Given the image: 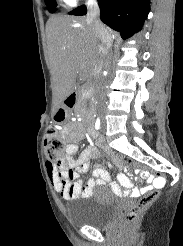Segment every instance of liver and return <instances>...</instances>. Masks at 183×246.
<instances>
[{"mask_svg":"<svg viewBox=\"0 0 183 246\" xmlns=\"http://www.w3.org/2000/svg\"><path fill=\"white\" fill-rule=\"evenodd\" d=\"M109 34L115 36L112 30ZM47 49L57 108L77 89L80 73L91 76L101 59L102 45L94 35L87 17L56 15L46 24ZM106 59V58H105Z\"/></svg>","mask_w":183,"mask_h":246,"instance_id":"liver-1","label":"liver"}]
</instances>
